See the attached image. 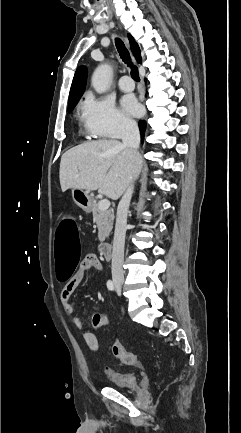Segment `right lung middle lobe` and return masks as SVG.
I'll use <instances>...</instances> for the list:
<instances>
[{"label":"right lung middle lobe","instance_id":"right-lung-middle-lobe-1","mask_svg":"<svg viewBox=\"0 0 241 433\" xmlns=\"http://www.w3.org/2000/svg\"><path fill=\"white\" fill-rule=\"evenodd\" d=\"M74 107H75V105L72 106V107H68V112H71V111L73 110Z\"/></svg>","mask_w":241,"mask_h":433}]
</instances>
